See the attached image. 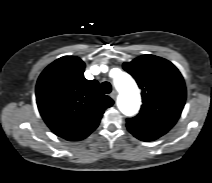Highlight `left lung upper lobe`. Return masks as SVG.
Listing matches in <instances>:
<instances>
[{"instance_id":"1","label":"left lung upper lobe","mask_w":212,"mask_h":183,"mask_svg":"<svg viewBox=\"0 0 212 183\" xmlns=\"http://www.w3.org/2000/svg\"><path fill=\"white\" fill-rule=\"evenodd\" d=\"M123 68L142 90L140 113L127 119L129 131L160 137L177 122L186 99V88L179 70L168 60L143 55Z\"/></svg>"}]
</instances>
